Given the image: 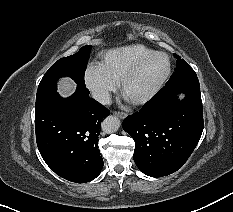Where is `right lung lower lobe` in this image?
I'll list each match as a JSON object with an SVG mask.
<instances>
[{
  "label": "right lung lower lobe",
  "mask_w": 233,
  "mask_h": 212,
  "mask_svg": "<svg viewBox=\"0 0 233 212\" xmlns=\"http://www.w3.org/2000/svg\"><path fill=\"white\" fill-rule=\"evenodd\" d=\"M109 115L81 85L70 97L64 99L56 92L35 108L36 141L46 164L72 182L96 178L104 165L98 149L99 128Z\"/></svg>",
  "instance_id": "obj_1"
}]
</instances>
